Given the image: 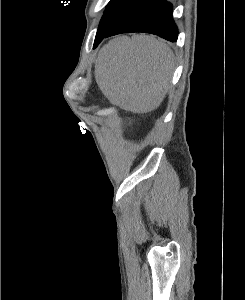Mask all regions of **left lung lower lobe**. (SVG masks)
Masks as SVG:
<instances>
[{"instance_id":"obj_1","label":"left lung lower lobe","mask_w":245,"mask_h":300,"mask_svg":"<svg viewBox=\"0 0 245 300\" xmlns=\"http://www.w3.org/2000/svg\"><path fill=\"white\" fill-rule=\"evenodd\" d=\"M172 10V5L166 0H144L126 12L107 32H98L94 48L104 38L132 32L151 33L175 42L178 29L172 18Z\"/></svg>"}]
</instances>
